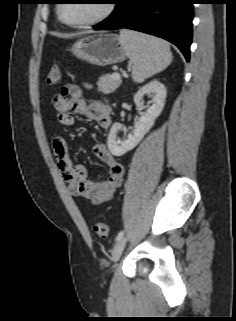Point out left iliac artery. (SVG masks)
Instances as JSON below:
<instances>
[{"label": "left iliac artery", "instance_id": "left-iliac-artery-1", "mask_svg": "<svg viewBox=\"0 0 236 321\" xmlns=\"http://www.w3.org/2000/svg\"><path fill=\"white\" fill-rule=\"evenodd\" d=\"M124 235V232L123 231H120L116 237V241L120 240Z\"/></svg>", "mask_w": 236, "mask_h": 321}]
</instances>
